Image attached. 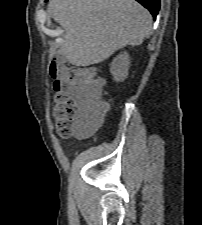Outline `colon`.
<instances>
[{
	"label": "colon",
	"instance_id": "colon-1",
	"mask_svg": "<svg viewBox=\"0 0 202 225\" xmlns=\"http://www.w3.org/2000/svg\"><path fill=\"white\" fill-rule=\"evenodd\" d=\"M47 75L54 81L53 118L58 135L63 139H69L86 134L87 126L75 122V108L69 96L71 92L75 93L84 103L90 115L99 116L106 111L107 107L102 97L101 81L84 69L64 70L55 59L49 62Z\"/></svg>",
	"mask_w": 202,
	"mask_h": 225
}]
</instances>
